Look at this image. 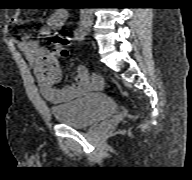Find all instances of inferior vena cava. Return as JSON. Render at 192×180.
<instances>
[{"label":"inferior vena cava","instance_id":"1","mask_svg":"<svg viewBox=\"0 0 192 180\" xmlns=\"http://www.w3.org/2000/svg\"><path fill=\"white\" fill-rule=\"evenodd\" d=\"M85 16H88L89 18H91L92 12H91L90 10L83 9V10L81 11V17H85Z\"/></svg>","mask_w":192,"mask_h":180}]
</instances>
